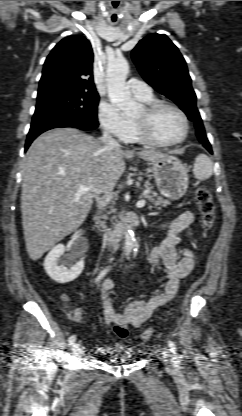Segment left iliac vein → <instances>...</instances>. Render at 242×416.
Instances as JSON below:
<instances>
[{
  "mask_svg": "<svg viewBox=\"0 0 242 416\" xmlns=\"http://www.w3.org/2000/svg\"><path fill=\"white\" fill-rule=\"evenodd\" d=\"M165 350H167V349H165ZM166 357H167V363H168V365L172 367L173 366V363H172V360L170 359V355L167 354Z\"/></svg>",
  "mask_w": 242,
  "mask_h": 416,
  "instance_id": "left-iliac-vein-1",
  "label": "left iliac vein"
}]
</instances>
